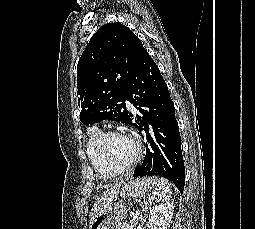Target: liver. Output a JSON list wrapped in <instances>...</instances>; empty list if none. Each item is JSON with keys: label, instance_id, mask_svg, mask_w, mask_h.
<instances>
[{"label": "liver", "instance_id": "1", "mask_svg": "<svg viewBox=\"0 0 255 229\" xmlns=\"http://www.w3.org/2000/svg\"><path fill=\"white\" fill-rule=\"evenodd\" d=\"M120 187H121V183H117L110 189L105 190L97 198L96 202L93 205L92 211L90 213V218L113 202V200L117 197L119 193Z\"/></svg>", "mask_w": 255, "mask_h": 229}]
</instances>
